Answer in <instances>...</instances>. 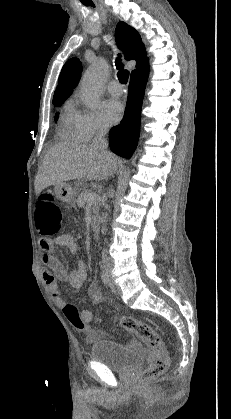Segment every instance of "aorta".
I'll return each mask as SVG.
<instances>
[{
  "label": "aorta",
  "mask_w": 231,
  "mask_h": 419,
  "mask_svg": "<svg viewBox=\"0 0 231 419\" xmlns=\"http://www.w3.org/2000/svg\"><path fill=\"white\" fill-rule=\"evenodd\" d=\"M107 74L108 64L104 59H99L84 74L81 82V94L90 109L95 108L97 104Z\"/></svg>",
  "instance_id": "762f6f07"
}]
</instances>
